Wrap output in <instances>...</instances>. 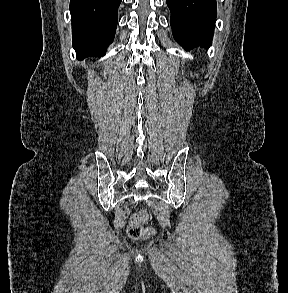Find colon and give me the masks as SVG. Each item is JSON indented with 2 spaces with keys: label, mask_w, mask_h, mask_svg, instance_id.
<instances>
[{
  "label": "colon",
  "mask_w": 288,
  "mask_h": 293,
  "mask_svg": "<svg viewBox=\"0 0 288 293\" xmlns=\"http://www.w3.org/2000/svg\"><path fill=\"white\" fill-rule=\"evenodd\" d=\"M146 220L147 213L144 210L132 215L127 228V234L131 239L139 240L153 234L151 229H147L143 226Z\"/></svg>",
  "instance_id": "obj_1"
}]
</instances>
